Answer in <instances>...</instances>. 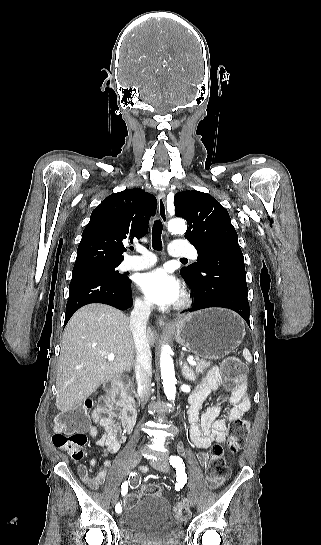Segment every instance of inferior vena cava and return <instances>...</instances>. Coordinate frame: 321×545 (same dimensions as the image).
Instances as JSON below:
<instances>
[{
	"instance_id": "602c4592",
	"label": "inferior vena cava",
	"mask_w": 321,
	"mask_h": 545,
	"mask_svg": "<svg viewBox=\"0 0 321 545\" xmlns=\"http://www.w3.org/2000/svg\"><path fill=\"white\" fill-rule=\"evenodd\" d=\"M153 303L151 301H135L134 309L130 315V329L132 331L136 361L135 375L137 387L142 405H146L151 397V369L152 355L146 337V325L149 321Z\"/></svg>"
}]
</instances>
